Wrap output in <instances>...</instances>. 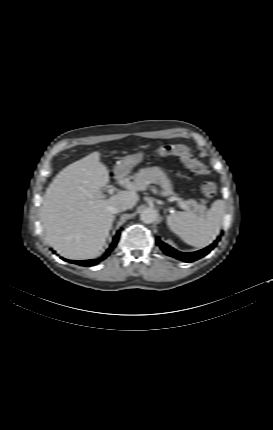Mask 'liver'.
<instances>
[{"label": "liver", "instance_id": "liver-1", "mask_svg": "<svg viewBox=\"0 0 273 430\" xmlns=\"http://www.w3.org/2000/svg\"><path fill=\"white\" fill-rule=\"evenodd\" d=\"M126 189L108 199L100 198L109 182L107 168L95 151L60 171L46 190L41 222L46 241L67 259H90L99 255L114 220L109 207L124 202L132 209L139 200V187L124 173L115 172Z\"/></svg>", "mask_w": 273, "mask_h": 430}]
</instances>
